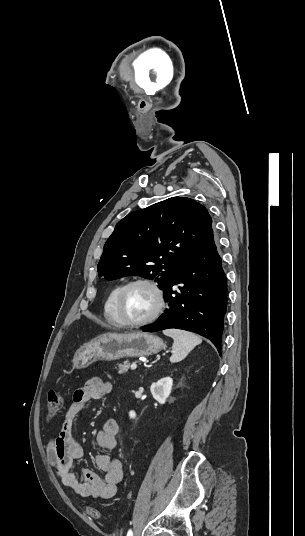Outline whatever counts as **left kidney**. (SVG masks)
<instances>
[{
    "label": "left kidney",
    "mask_w": 305,
    "mask_h": 536,
    "mask_svg": "<svg viewBox=\"0 0 305 536\" xmlns=\"http://www.w3.org/2000/svg\"><path fill=\"white\" fill-rule=\"evenodd\" d=\"M172 386V378H161V380H158V382L152 384L150 392L156 402H159V404H165L167 398H169L171 394ZM129 416L130 418H136V412L131 410V412H129Z\"/></svg>",
    "instance_id": "left-kidney-1"
}]
</instances>
